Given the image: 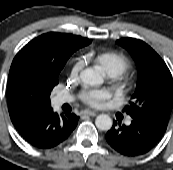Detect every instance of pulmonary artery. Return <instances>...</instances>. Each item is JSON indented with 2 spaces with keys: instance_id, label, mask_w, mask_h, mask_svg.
Listing matches in <instances>:
<instances>
[{
  "instance_id": "pulmonary-artery-1",
  "label": "pulmonary artery",
  "mask_w": 173,
  "mask_h": 170,
  "mask_svg": "<svg viewBox=\"0 0 173 170\" xmlns=\"http://www.w3.org/2000/svg\"><path fill=\"white\" fill-rule=\"evenodd\" d=\"M105 70H106V72H107V74H108L109 76L115 75L114 70H113L110 66L105 67ZM74 99H75V97L72 96V95H70V94H63V95H60V96H59V101H60V103L71 102V101H73Z\"/></svg>"
}]
</instances>
